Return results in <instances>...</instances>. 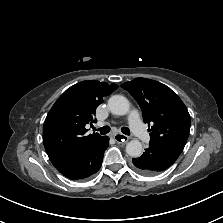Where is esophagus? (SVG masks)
Segmentation results:
<instances>
[{"label": "esophagus", "mask_w": 223, "mask_h": 223, "mask_svg": "<svg viewBox=\"0 0 223 223\" xmlns=\"http://www.w3.org/2000/svg\"><path fill=\"white\" fill-rule=\"evenodd\" d=\"M113 138L118 142V143H127L129 141V137L125 136L123 134L117 133L113 135Z\"/></svg>", "instance_id": "obj_1"}]
</instances>
